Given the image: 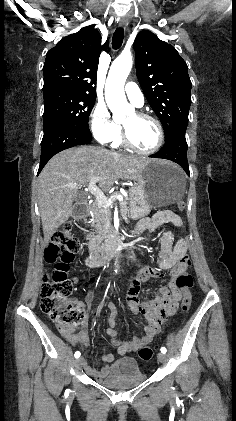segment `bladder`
Wrapping results in <instances>:
<instances>
[{
    "mask_svg": "<svg viewBox=\"0 0 236 421\" xmlns=\"http://www.w3.org/2000/svg\"><path fill=\"white\" fill-rule=\"evenodd\" d=\"M145 380L146 375L140 371L136 359L125 357L119 358L106 370L101 383L119 390H126L142 384Z\"/></svg>",
    "mask_w": 236,
    "mask_h": 421,
    "instance_id": "31cf9c89",
    "label": "bladder"
}]
</instances>
